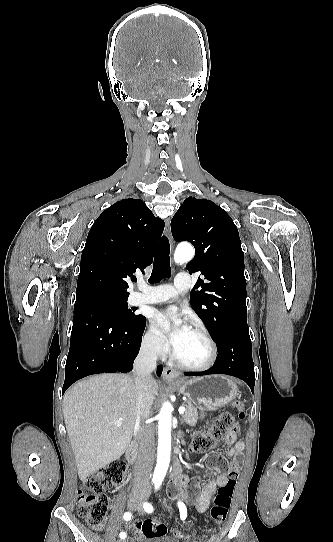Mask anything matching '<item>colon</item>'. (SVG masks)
I'll return each mask as SVG.
<instances>
[{"mask_svg":"<svg viewBox=\"0 0 333 542\" xmlns=\"http://www.w3.org/2000/svg\"><path fill=\"white\" fill-rule=\"evenodd\" d=\"M235 409L238 411V419L243 420L245 414L240 402H236ZM236 426L239 430L240 426L236 421L235 415L230 411L222 412L208 429L198 431L194 434L191 442V450L195 453L208 451L227 436L225 433H235ZM219 460L221 469L228 473L229 481L218 490L210 513L216 523H223L226 520L231 505L236 482L243 465V459L241 456H236L230 460L224 458H219ZM120 481V467L117 462H112L110 465L103 467L99 472L86 478L85 487L89 492L83 490L78 492L77 508L79 515L92 528L99 530L103 526L108 508V499L104 491L116 487ZM192 483L196 484L198 481L192 479ZM140 529L147 539H157L166 535V525L158 519H146L140 525Z\"/></svg>","mask_w":333,"mask_h":542,"instance_id":"5ec220e1","label":"colon"}]
</instances>
